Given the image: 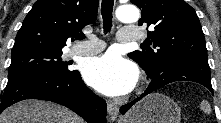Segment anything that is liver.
<instances>
[{"label": "liver", "instance_id": "6515ba94", "mask_svg": "<svg viewBox=\"0 0 221 123\" xmlns=\"http://www.w3.org/2000/svg\"><path fill=\"white\" fill-rule=\"evenodd\" d=\"M0 123H83V120L58 104L24 100L4 110Z\"/></svg>", "mask_w": 221, "mask_h": 123}]
</instances>
